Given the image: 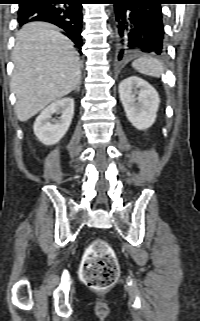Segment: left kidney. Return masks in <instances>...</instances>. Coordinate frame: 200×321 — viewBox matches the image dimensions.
I'll return each instance as SVG.
<instances>
[{
	"instance_id": "obj_1",
	"label": "left kidney",
	"mask_w": 200,
	"mask_h": 321,
	"mask_svg": "<svg viewBox=\"0 0 200 321\" xmlns=\"http://www.w3.org/2000/svg\"><path fill=\"white\" fill-rule=\"evenodd\" d=\"M119 95L126 117L135 128L145 130L154 124L160 98L147 81L128 77L119 84Z\"/></svg>"
}]
</instances>
